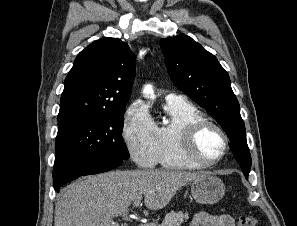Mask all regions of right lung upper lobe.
<instances>
[{"label": "right lung upper lobe", "instance_id": "cb5924a9", "mask_svg": "<svg viewBox=\"0 0 297 226\" xmlns=\"http://www.w3.org/2000/svg\"><path fill=\"white\" fill-rule=\"evenodd\" d=\"M134 78L135 58L127 43L110 37L91 43L65 79L58 120L124 112Z\"/></svg>", "mask_w": 297, "mask_h": 226}]
</instances>
